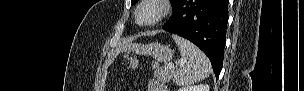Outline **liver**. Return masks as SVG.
<instances>
[{
	"instance_id": "liver-1",
	"label": "liver",
	"mask_w": 304,
	"mask_h": 91,
	"mask_svg": "<svg viewBox=\"0 0 304 91\" xmlns=\"http://www.w3.org/2000/svg\"><path fill=\"white\" fill-rule=\"evenodd\" d=\"M147 46H143L141 44H136V43H130V42H123L120 44V46L116 49V54H118L121 51H129V52H142L145 50Z\"/></svg>"
}]
</instances>
